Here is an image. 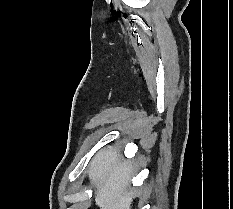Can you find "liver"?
Returning <instances> with one entry per match:
<instances>
[{
	"mask_svg": "<svg viewBox=\"0 0 233 209\" xmlns=\"http://www.w3.org/2000/svg\"><path fill=\"white\" fill-rule=\"evenodd\" d=\"M132 164L122 160L120 153L111 146L93 158L88 175L96 185L95 202L100 209H131L135 197L128 189Z\"/></svg>",
	"mask_w": 233,
	"mask_h": 209,
	"instance_id": "liver-1",
	"label": "liver"
}]
</instances>
